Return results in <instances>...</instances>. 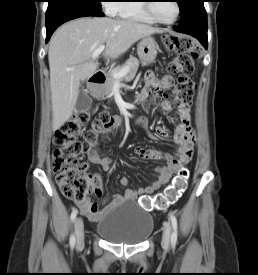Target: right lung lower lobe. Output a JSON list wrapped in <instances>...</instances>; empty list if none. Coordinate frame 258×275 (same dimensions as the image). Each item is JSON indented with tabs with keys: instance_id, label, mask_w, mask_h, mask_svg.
<instances>
[{
	"instance_id": "1",
	"label": "right lung lower lobe",
	"mask_w": 258,
	"mask_h": 275,
	"mask_svg": "<svg viewBox=\"0 0 258 275\" xmlns=\"http://www.w3.org/2000/svg\"><path fill=\"white\" fill-rule=\"evenodd\" d=\"M101 9H96L86 5L79 4H63L46 12V30L47 39L49 41L52 33L64 22L84 17V16H103Z\"/></svg>"
}]
</instances>
